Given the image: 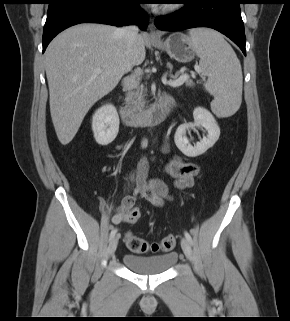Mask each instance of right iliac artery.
<instances>
[{"label": "right iliac artery", "instance_id": "right-iliac-artery-1", "mask_svg": "<svg viewBox=\"0 0 290 321\" xmlns=\"http://www.w3.org/2000/svg\"><path fill=\"white\" fill-rule=\"evenodd\" d=\"M116 229H113L112 231H111V233H110V240L115 236V234H116Z\"/></svg>", "mask_w": 290, "mask_h": 321}]
</instances>
